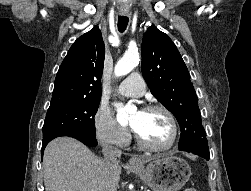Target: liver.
<instances>
[{"label":"liver","instance_id":"1","mask_svg":"<svg viewBox=\"0 0 251 191\" xmlns=\"http://www.w3.org/2000/svg\"><path fill=\"white\" fill-rule=\"evenodd\" d=\"M43 163L45 191H117L122 169L67 135L48 143Z\"/></svg>","mask_w":251,"mask_h":191}]
</instances>
